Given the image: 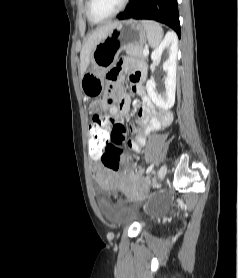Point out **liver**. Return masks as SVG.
Masks as SVG:
<instances>
[{
  "label": "liver",
  "mask_w": 238,
  "mask_h": 278,
  "mask_svg": "<svg viewBox=\"0 0 238 278\" xmlns=\"http://www.w3.org/2000/svg\"><path fill=\"white\" fill-rule=\"evenodd\" d=\"M118 21L110 22L106 25L98 27L86 39L80 54V75L82 76L89 66L93 49L100 43L109 33V31L117 25Z\"/></svg>",
  "instance_id": "6515ba94"
}]
</instances>
